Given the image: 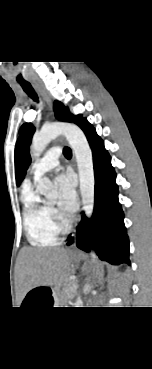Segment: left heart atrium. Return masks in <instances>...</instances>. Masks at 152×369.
<instances>
[{"label":"left heart atrium","instance_id":"left-heart-atrium-1","mask_svg":"<svg viewBox=\"0 0 152 369\" xmlns=\"http://www.w3.org/2000/svg\"><path fill=\"white\" fill-rule=\"evenodd\" d=\"M59 190V207L67 215L77 209V195L75 181L70 174H61L56 178Z\"/></svg>","mask_w":152,"mask_h":369}]
</instances>
